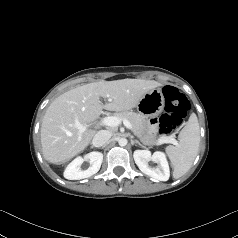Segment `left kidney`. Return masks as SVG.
I'll list each match as a JSON object with an SVG mask.
<instances>
[{
	"instance_id": "5707ae66",
	"label": "left kidney",
	"mask_w": 238,
	"mask_h": 238,
	"mask_svg": "<svg viewBox=\"0 0 238 238\" xmlns=\"http://www.w3.org/2000/svg\"><path fill=\"white\" fill-rule=\"evenodd\" d=\"M138 168L146 175L159 181H167L170 177V169L166 155L156 151L153 154L149 150H135L133 154ZM157 163L156 167H150L148 162Z\"/></svg>"
}]
</instances>
